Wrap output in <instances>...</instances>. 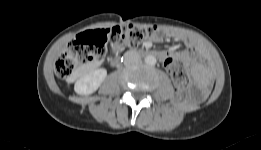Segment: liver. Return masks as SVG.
<instances>
[{
    "instance_id": "1",
    "label": "liver",
    "mask_w": 261,
    "mask_h": 150,
    "mask_svg": "<svg viewBox=\"0 0 261 150\" xmlns=\"http://www.w3.org/2000/svg\"><path fill=\"white\" fill-rule=\"evenodd\" d=\"M91 67H92V66H91L90 64L85 65V66L82 67V71H83V72H88V71L91 69Z\"/></svg>"
}]
</instances>
